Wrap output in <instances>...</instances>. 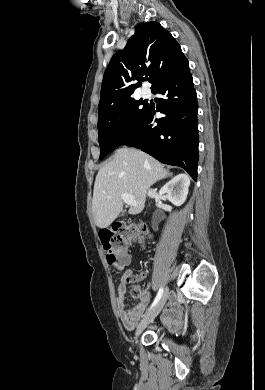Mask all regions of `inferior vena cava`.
Wrapping results in <instances>:
<instances>
[{
    "label": "inferior vena cava",
    "mask_w": 265,
    "mask_h": 390,
    "mask_svg": "<svg viewBox=\"0 0 265 390\" xmlns=\"http://www.w3.org/2000/svg\"><path fill=\"white\" fill-rule=\"evenodd\" d=\"M153 194H154V190H149L148 191V196H153Z\"/></svg>",
    "instance_id": "1"
}]
</instances>
